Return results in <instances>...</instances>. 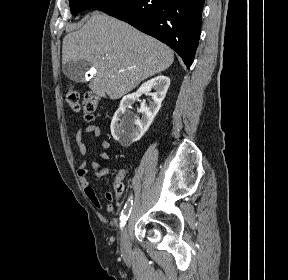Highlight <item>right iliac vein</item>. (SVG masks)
Instances as JSON below:
<instances>
[{
	"instance_id": "obj_1",
	"label": "right iliac vein",
	"mask_w": 288,
	"mask_h": 280,
	"mask_svg": "<svg viewBox=\"0 0 288 280\" xmlns=\"http://www.w3.org/2000/svg\"><path fill=\"white\" fill-rule=\"evenodd\" d=\"M120 245H121V251L124 254H127L129 252V246H130L127 225L123 228V231L121 234Z\"/></svg>"
}]
</instances>
